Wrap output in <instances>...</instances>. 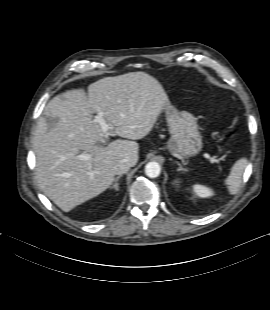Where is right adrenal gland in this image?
I'll list each match as a JSON object with an SVG mask.
<instances>
[{"instance_id":"right-adrenal-gland-1","label":"right adrenal gland","mask_w":270,"mask_h":310,"mask_svg":"<svg viewBox=\"0 0 270 310\" xmlns=\"http://www.w3.org/2000/svg\"><path fill=\"white\" fill-rule=\"evenodd\" d=\"M121 177H122V176L120 175V176H118V177L115 178L114 184L110 187V189H114L115 191H118V190H119V183H118V181H119V179H120Z\"/></svg>"}]
</instances>
